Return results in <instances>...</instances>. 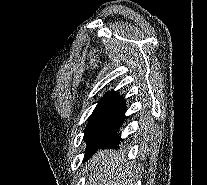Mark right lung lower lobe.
I'll return each instance as SVG.
<instances>
[{
	"mask_svg": "<svg viewBox=\"0 0 207 185\" xmlns=\"http://www.w3.org/2000/svg\"><path fill=\"white\" fill-rule=\"evenodd\" d=\"M125 116L104 136V138L98 143V148H111L116 147L120 142L119 128L123 124Z\"/></svg>",
	"mask_w": 207,
	"mask_h": 185,
	"instance_id": "98d812e1",
	"label": "right lung lower lobe"
}]
</instances>
